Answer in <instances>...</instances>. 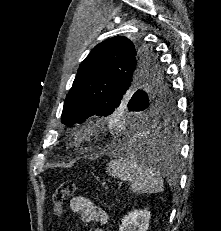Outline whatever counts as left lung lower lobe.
<instances>
[{
  "instance_id": "left-lung-lower-lobe-1",
  "label": "left lung lower lobe",
  "mask_w": 221,
  "mask_h": 231,
  "mask_svg": "<svg viewBox=\"0 0 221 231\" xmlns=\"http://www.w3.org/2000/svg\"><path fill=\"white\" fill-rule=\"evenodd\" d=\"M124 132L115 138V142L121 147L129 145L138 152L143 151V162L150 166L166 168V159H173L178 152L176 119L165 124L150 119Z\"/></svg>"
}]
</instances>
